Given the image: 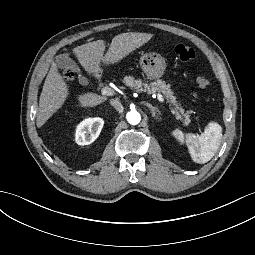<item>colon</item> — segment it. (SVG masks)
<instances>
[{"mask_svg": "<svg viewBox=\"0 0 255 255\" xmlns=\"http://www.w3.org/2000/svg\"><path fill=\"white\" fill-rule=\"evenodd\" d=\"M175 54L182 61H190L196 57V50L188 44L181 43L175 47ZM63 77L65 80H72L74 72L72 70H65ZM196 83L199 88L204 89L208 86L209 79L205 74H200L197 76Z\"/></svg>", "mask_w": 255, "mask_h": 255, "instance_id": "5ec220e1", "label": "colon"}]
</instances>
